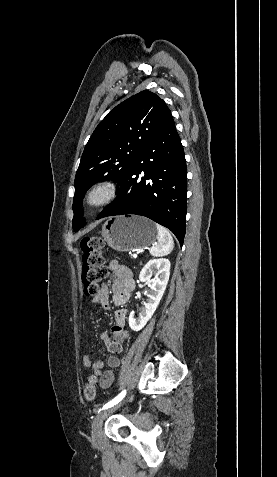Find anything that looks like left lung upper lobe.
Masks as SVG:
<instances>
[{"instance_id":"1","label":"left lung upper lobe","mask_w":277,"mask_h":477,"mask_svg":"<svg viewBox=\"0 0 277 477\" xmlns=\"http://www.w3.org/2000/svg\"><path fill=\"white\" fill-rule=\"evenodd\" d=\"M172 119L165 102L150 91H141L112 109L94 130L82 154L75 177L73 229L82 218V199L100 180L120 185L143 147Z\"/></svg>"}]
</instances>
